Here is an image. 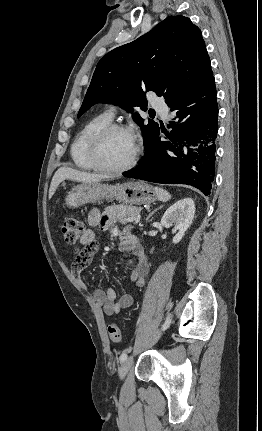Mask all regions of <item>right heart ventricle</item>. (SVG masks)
<instances>
[{
  "label": "right heart ventricle",
  "instance_id": "obj_1",
  "mask_svg": "<svg viewBox=\"0 0 262 431\" xmlns=\"http://www.w3.org/2000/svg\"><path fill=\"white\" fill-rule=\"evenodd\" d=\"M111 123L107 113L98 114L88 120L76 134L70 148L74 166L84 171H97L90 159V144L94 135Z\"/></svg>",
  "mask_w": 262,
  "mask_h": 431
}]
</instances>
